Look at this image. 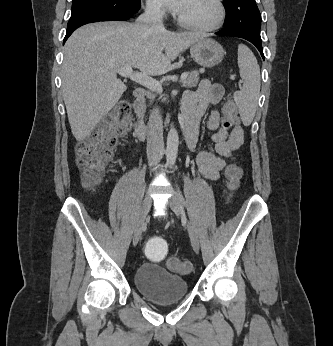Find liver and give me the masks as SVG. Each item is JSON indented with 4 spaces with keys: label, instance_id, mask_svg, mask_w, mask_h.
Returning <instances> with one entry per match:
<instances>
[{
    "label": "liver",
    "instance_id": "liver-1",
    "mask_svg": "<svg viewBox=\"0 0 333 346\" xmlns=\"http://www.w3.org/2000/svg\"><path fill=\"white\" fill-rule=\"evenodd\" d=\"M202 38L193 32L152 30L141 23H93L77 29L65 43L61 75L75 139L89 136L126 91L117 78L119 68L163 75L180 53Z\"/></svg>",
    "mask_w": 333,
    "mask_h": 346
}]
</instances>
